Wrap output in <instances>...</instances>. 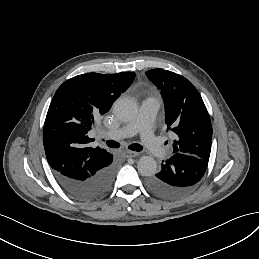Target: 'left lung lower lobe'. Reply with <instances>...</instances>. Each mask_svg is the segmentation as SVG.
I'll list each match as a JSON object with an SVG mask.
<instances>
[{
  "mask_svg": "<svg viewBox=\"0 0 259 259\" xmlns=\"http://www.w3.org/2000/svg\"><path fill=\"white\" fill-rule=\"evenodd\" d=\"M208 161L193 155L175 153L161 164L162 170L147 179L148 188L166 199L190 193L203 177Z\"/></svg>",
  "mask_w": 259,
  "mask_h": 259,
  "instance_id": "0a47b994",
  "label": "left lung lower lobe"
}]
</instances>
